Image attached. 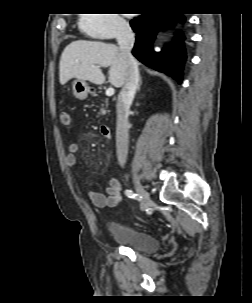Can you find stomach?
<instances>
[{
	"mask_svg": "<svg viewBox=\"0 0 252 303\" xmlns=\"http://www.w3.org/2000/svg\"><path fill=\"white\" fill-rule=\"evenodd\" d=\"M73 94L78 99H86L90 91V86L85 80L76 79L72 83Z\"/></svg>",
	"mask_w": 252,
	"mask_h": 303,
	"instance_id": "1",
	"label": "stomach"
}]
</instances>
